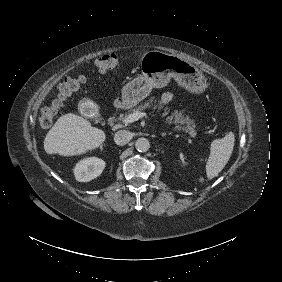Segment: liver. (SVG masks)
<instances>
[{"instance_id":"6515ba94","label":"liver","mask_w":282,"mask_h":282,"mask_svg":"<svg viewBox=\"0 0 282 282\" xmlns=\"http://www.w3.org/2000/svg\"><path fill=\"white\" fill-rule=\"evenodd\" d=\"M105 138V133L92 127L88 120L68 113L62 115L48 131L44 149L47 154L80 155L98 148Z\"/></svg>"}]
</instances>
